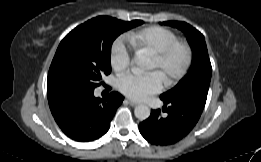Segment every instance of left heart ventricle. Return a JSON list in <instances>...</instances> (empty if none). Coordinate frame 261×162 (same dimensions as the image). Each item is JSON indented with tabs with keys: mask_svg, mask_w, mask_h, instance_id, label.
Returning <instances> with one entry per match:
<instances>
[{
	"mask_svg": "<svg viewBox=\"0 0 261 162\" xmlns=\"http://www.w3.org/2000/svg\"><path fill=\"white\" fill-rule=\"evenodd\" d=\"M182 54L180 52L173 55L165 67H161L155 57H152L149 69H157L166 78L170 73L176 71L182 64Z\"/></svg>",
	"mask_w": 261,
	"mask_h": 162,
	"instance_id": "b2bd125f",
	"label": "left heart ventricle"
}]
</instances>
